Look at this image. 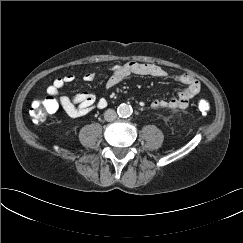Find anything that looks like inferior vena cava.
I'll list each match as a JSON object with an SVG mask.
<instances>
[{"mask_svg":"<svg viewBox=\"0 0 243 243\" xmlns=\"http://www.w3.org/2000/svg\"><path fill=\"white\" fill-rule=\"evenodd\" d=\"M116 118H117V114H116L115 110H113V109H108V110L105 111V113H104V119H105L107 122H112V121H114Z\"/></svg>","mask_w":243,"mask_h":243,"instance_id":"inferior-vena-cava-1","label":"inferior vena cava"}]
</instances>
